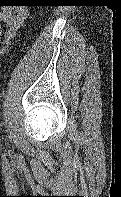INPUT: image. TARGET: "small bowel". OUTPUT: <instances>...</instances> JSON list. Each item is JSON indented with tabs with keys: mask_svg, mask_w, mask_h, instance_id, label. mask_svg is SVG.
<instances>
[{
	"mask_svg": "<svg viewBox=\"0 0 121 197\" xmlns=\"http://www.w3.org/2000/svg\"><path fill=\"white\" fill-rule=\"evenodd\" d=\"M0 24L7 27L5 33V42L13 39L18 33L19 29L23 26L27 13L22 5H0ZM6 52L5 48L0 49V54Z\"/></svg>",
	"mask_w": 121,
	"mask_h": 197,
	"instance_id": "c3829d8e",
	"label": "small bowel"
}]
</instances>
